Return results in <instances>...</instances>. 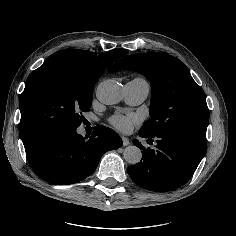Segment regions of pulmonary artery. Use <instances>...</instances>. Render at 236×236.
I'll return each instance as SVG.
<instances>
[{
	"label": "pulmonary artery",
	"mask_w": 236,
	"mask_h": 236,
	"mask_svg": "<svg viewBox=\"0 0 236 236\" xmlns=\"http://www.w3.org/2000/svg\"><path fill=\"white\" fill-rule=\"evenodd\" d=\"M149 95V86L139 83L136 80H130L125 84L124 100L131 105H137L147 99Z\"/></svg>",
	"instance_id": "1"
}]
</instances>
